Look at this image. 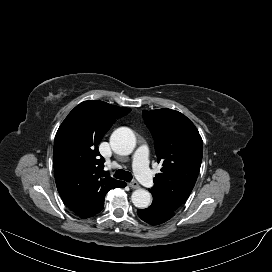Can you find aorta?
Instances as JSON below:
<instances>
[{
    "label": "aorta",
    "instance_id": "aorta-1",
    "mask_svg": "<svg viewBox=\"0 0 272 272\" xmlns=\"http://www.w3.org/2000/svg\"><path fill=\"white\" fill-rule=\"evenodd\" d=\"M112 150L118 155H129L136 145V138L133 131L127 127L116 129L110 137ZM132 203L135 207L147 208L151 203V194L144 189H137L132 193Z\"/></svg>",
    "mask_w": 272,
    "mask_h": 272
}]
</instances>
